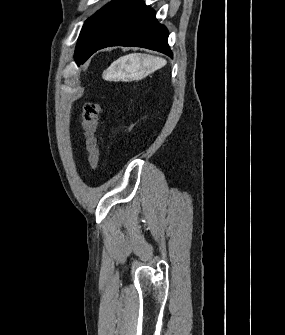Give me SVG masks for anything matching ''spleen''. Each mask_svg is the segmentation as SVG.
<instances>
[{"label":"spleen","instance_id":"spleen-1","mask_svg":"<svg viewBox=\"0 0 285 335\" xmlns=\"http://www.w3.org/2000/svg\"><path fill=\"white\" fill-rule=\"evenodd\" d=\"M128 58L131 60V70H140V68L149 70L150 62H152L154 70H159V68H163L167 64L163 58H152V56H145V54H130Z\"/></svg>","mask_w":285,"mask_h":335}]
</instances>
